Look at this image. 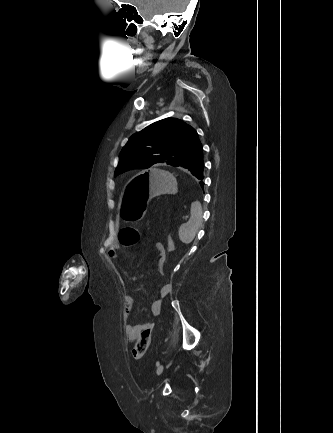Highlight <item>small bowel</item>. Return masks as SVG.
I'll return each instance as SVG.
<instances>
[{
	"instance_id": "small-bowel-1",
	"label": "small bowel",
	"mask_w": 333,
	"mask_h": 433,
	"mask_svg": "<svg viewBox=\"0 0 333 433\" xmlns=\"http://www.w3.org/2000/svg\"><path fill=\"white\" fill-rule=\"evenodd\" d=\"M156 248L159 252V258H158V268L159 270H162L163 265L165 263L167 251L169 250L164 246L163 243L158 242L156 244ZM107 255L111 259H115L118 255V247L117 245L113 244L108 248ZM171 286L169 284H163L157 293V298L153 301L151 305V313L152 315L156 316L160 312L162 301L170 294ZM135 305V300L132 296L126 295L124 297V312H123V319H124V331L127 341L133 342L139 338L141 333L149 328L151 325L150 323H140V324H133L131 323V318L133 314V309Z\"/></svg>"
}]
</instances>
